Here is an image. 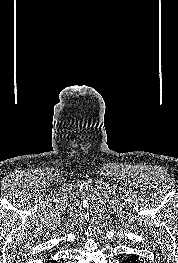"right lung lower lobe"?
Returning a JSON list of instances; mask_svg holds the SVG:
<instances>
[{"label":"right lung lower lobe","mask_w":178,"mask_h":263,"mask_svg":"<svg viewBox=\"0 0 178 263\" xmlns=\"http://www.w3.org/2000/svg\"><path fill=\"white\" fill-rule=\"evenodd\" d=\"M47 263H57L55 260L48 261Z\"/></svg>","instance_id":"98d812e1"}]
</instances>
